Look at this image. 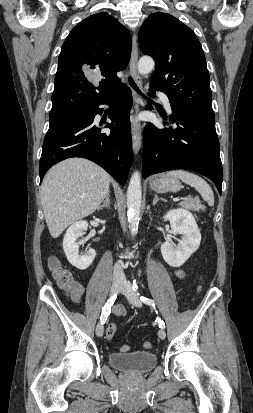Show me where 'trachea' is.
Here are the masks:
<instances>
[{"label":"trachea","mask_w":253,"mask_h":413,"mask_svg":"<svg viewBox=\"0 0 253 413\" xmlns=\"http://www.w3.org/2000/svg\"><path fill=\"white\" fill-rule=\"evenodd\" d=\"M128 81H129L130 85H131L140 95H143V94L141 93V91L139 90V88L137 87V85L135 84V82H134V80L132 79V77H129V78H128Z\"/></svg>","instance_id":"1"}]
</instances>
